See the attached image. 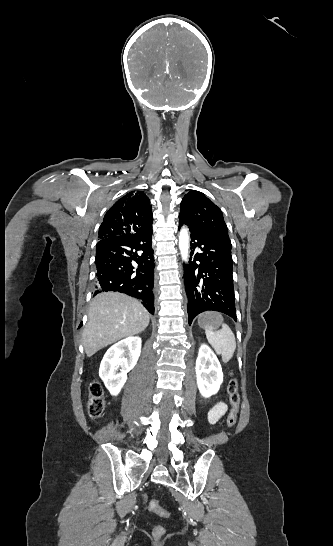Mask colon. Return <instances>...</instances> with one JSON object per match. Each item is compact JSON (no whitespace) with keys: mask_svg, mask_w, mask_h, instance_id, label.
<instances>
[{"mask_svg":"<svg viewBox=\"0 0 333 546\" xmlns=\"http://www.w3.org/2000/svg\"><path fill=\"white\" fill-rule=\"evenodd\" d=\"M228 394L230 401V411L227 416V425L233 427L236 424L238 412L240 409V395L238 392V385L235 379H231L228 384ZM106 408V400L104 395V389L98 381H93L89 386V403L88 412L92 418H98L102 415ZM150 511L162 517H169V512L166 511L158 500H151L149 502ZM153 533L157 537H161L165 533L164 527L158 525L154 528Z\"/></svg>","mask_w":333,"mask_h":546,"instance_id":"colon-1","label":"colon"}]
</instances>
